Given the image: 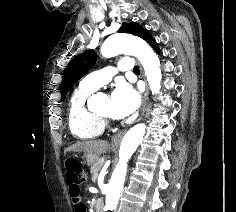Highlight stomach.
<instances>
[{"label":"stomach","mask_w":236,"mask_h":212,"mask_svg":"<svg viewBox=\"0 0 236 212\" xmlns=\"http://www.w3.org/2000/svg\"><path fill=\"white\" fill-rule=\"evenodd\" d=\"M82 159L83 164H86L87 166H91L98 161L97 156L85 152L83 153Z\"/></svg>","instance_id":"0dacf381"}]
</instances>
